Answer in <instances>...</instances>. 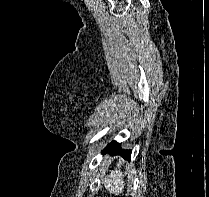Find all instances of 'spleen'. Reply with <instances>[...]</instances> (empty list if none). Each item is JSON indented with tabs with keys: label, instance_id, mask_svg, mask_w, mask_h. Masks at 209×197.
Here are the masks:
<instances>
[{
	"label": "spleen",
	"instance_id": "obj_1",
	"mask_svg": "<svg viewBox=\"0 0 209 197\" xmlns=\"http://www.w3.org/2000/svg\"><path fill=\"white\" fill-rule=\"evenodd\" d=\"M105 188L112 194H121L124 189L123 174L120 171H113L104 179Z\"/></svg>",
	"mask_w": 209,
	"mask_h": 197
}]
</instances>
